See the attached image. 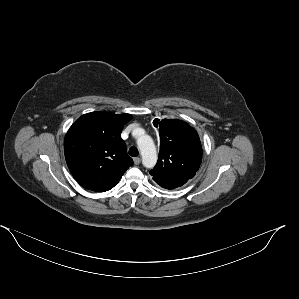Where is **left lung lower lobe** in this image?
Listing matches in <instances>:
<instances>
[{
  "label": "left lung lower lobe",
  "mask_w": 299,
  "mask_h": 299,
  "mask_svg": "<svg viewBox=\"0 0 299 299\" xmlns=\"http://www.w3.org/2000/svg\"><path fill=\"white\" fill-rule=\"evenodd\" d=\"M190 178L186 176L174 177V178H153V180L163 188L175 189L184 185Z\"/></svg>",
  "instance_id": "1"
}]
</instances>
